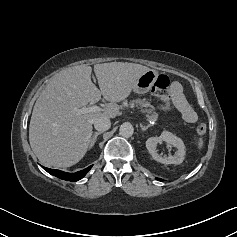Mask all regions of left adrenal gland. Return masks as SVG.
<instances>
[{
    "mask_svg": "<svg viewBox=\"0 0 237 237\" xmlns=\"http://www.w3.org/2000/svg\"><path fill=\"white\" fill-rule=\"evenodd\" d=\"M140 127H141L142 131H146L149 127H151V125L144 126V125L140 124Z\"/></svg>",
    "mask_w": 237,
    "mask_h": 237,
    "instance_id": "a2214340",
    "label": "left adrenal gland"
}]
</instances>
